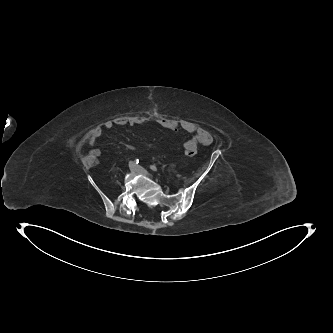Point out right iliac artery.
Instances as JSON below:
<instances>
[{"mask_svg": "<svg viewBox=\"0 0 333 333\" xmlns=\"http://www.w3.org/2000/svg\"><path fill=\"white\" fill-rule=\"evenodd\" d=\"M138 162H139V160L137 159V160H136V163L138 164Z\"/></svg>", "mask_w": 333, "mask_h": 333, "instance_id": "obj_1", "label": "right iliac artery"}]
</instances>
